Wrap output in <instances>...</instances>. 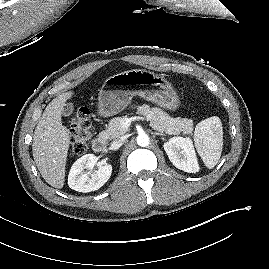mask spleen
<instances>
[{
	"label": "spleen",
	"mask_w": 269,
	"mask_h": 269,
	"mask_svg": "<svg viewBox=\"0 0 269 269\" xmlns=\"http://www.w3.org/2000/svg\"><path fill=\"white\" fill-rule=\"evenodd\" d=\"M194 143L208 169L218 163L223 147V127L219 117L212 116L199 122L194 132Z\"/></svg>",
	"instance_id": "obj_1"
}]
</instances>
